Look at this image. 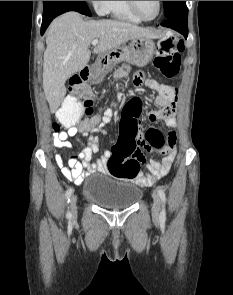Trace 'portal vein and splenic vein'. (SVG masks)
I'll return each instance as SVG.
<instances>
[{"mask_svg": "<svg viewBox=\"0 0 233 295\" xmlns=\"http://www.w3.org/2000/svg\"><path fill=\"white\" fill-rule=\"evenodd\" d=\"M98 42H99L98 39H94V40L92 41V45H93V46H96V45L98 44Z\"/></svg>", "mask_w": 233, "mask_h": 295, "instance_id": "obj_1", "label": "portal vein and splenic vein"}]
</instances>
